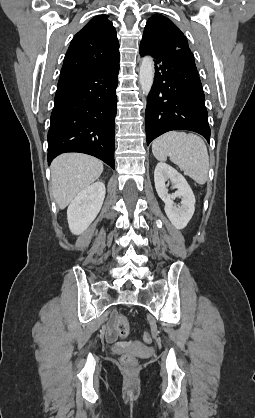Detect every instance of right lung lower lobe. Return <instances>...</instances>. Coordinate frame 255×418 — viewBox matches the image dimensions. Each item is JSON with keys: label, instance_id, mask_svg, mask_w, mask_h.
I'll use <instances>...</instances> for the list:
<instances>
[{"label": "right lung lower lobe", "instance_id": "right-lung-lower-lobe-1", "mask_svg": "<svg viewBox=\"0 0 255 418\" xmlns=\"http://www.w3.org/2000/svg\"><path fill=\"white\" fill-rule=\"evenodd\" d=\"M119 60L61 74L48 131V163L61 153L95 156L114 169Z\"/></svg>", "mask_w": 255, "mask_h": 418}]
</instances>
